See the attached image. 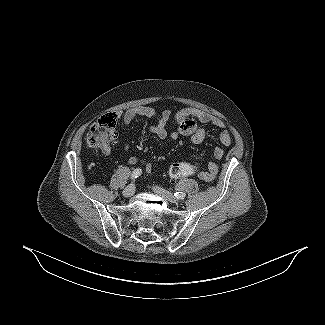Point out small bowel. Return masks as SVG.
<instances>
[{
	"instance_id": "1",
	"label": "small bowel",
	"mask_w": 325,
	"mask_h": 325,
	"mask_svg": "<svg viewBox=\"0 0 325 325\" xmlns=\"http://www.w3.org/2000/svg\"><path fill=\"white\" fill-rule=\"evenodd\" d=\"M118 116L122 119V122L125 125H129L138 117L153 118L155 119L156 124L151 127L150 131L159 139H166L168 137L166 129V125L170 119V112L168 110L157 112L151 107L139 106L130 108L123 113H118ZM175 119L178 126L176 131L170 134L172 140H176L179 136H185L188 137L193 144L202 143L206 137V131L199 125L200 122L211 123L212 125L223 129L220 134V141L223 145L229 146L232 142V136L225 128V124L221 120L211 117L207 112L201 109L191 107L182 108L176 113ZM124 148L126 150L129 149V145L125 143ZM102 152L104 155H108L110 153L109 147L103 149ZM224 152L225 151L222 147H216L214 149L215 160L210 161L205 170L197 168L194 174L203 181L213 180L218 171L217 160L223 157ZM129 163H141L145 166V170L148 174L151 172V164L142 161L135 156L129 158Z\"/></svg>"
}]
</instances>
